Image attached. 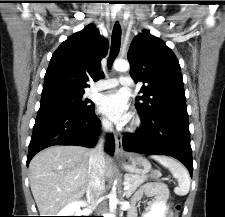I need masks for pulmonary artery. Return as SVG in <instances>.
I'll return each instance as SVG.
<instances>
[{
    "instance_id": "obj_1",
    "label": "pulmonary artery",
    "mask_w": 225,
    "mask_h": 217,
    "mask_svg": "<svg viewBox=\"0 0 225 217\" xmlns=\"http://www.w3.org/2000/svg\"><path fill=\"white\" fill-rule=\"evenodd\" d=\"M119 84L125 86H131L132 81L129 77L122 76L119 79L110 78L102 81L95 89L96 90H105L118 86Z\"/></svg>"
}]
</instances>
